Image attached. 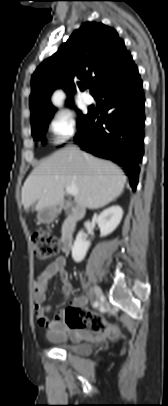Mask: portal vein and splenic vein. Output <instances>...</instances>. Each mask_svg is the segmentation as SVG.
<instances>
[{
  "instance_id": "portal-vein-and-splenic-vein-1",
  "label": "portal vein and splenic vein",
  "mask_w": 168,
  "mask_h": 406,
  "mask_svg": "<svg viewBox=\"0 0 168 406\" xmlns=\"http://www.w3.org/2000/svg\"><path fill=\"white\" fill-rule=\"evenodd\" d=\"M66 192L68 194L75 196L78 194V188L75 185H71V186L66 187Z\"/></svg>"
}]
</instances>
